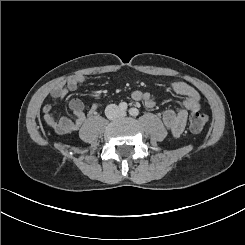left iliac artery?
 I'll use <instances>...</instances> for the list:
<instances>
[{
  "label": "left iliac artery",
  "instance_id": "obj_1",
  "mask_svg": "<svg viewBox=\"0 0 245 245\" xmlns=\"http://www.w3.org/2000/svg\"><path fill=\"white\" fill-rule=\"evenodd\" d=\"M129 114L132 116H137L139 114V110L137 108H130Z\"/></svg>",
  "mask_w": 245,
  "mask_h": 245
}]
</instances>
